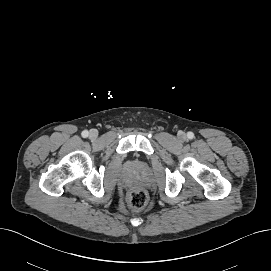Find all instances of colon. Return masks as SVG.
Returning a JSON list of instances; mask_svg holds the SVG:
<instances>
[{
  "label": "colon",
  "mask_w": 271,
  "mask_h": 271,
  "mask_svg": "<svg viewBox=\"0 0 271 271\" xmlns=\"http://www.w3.org/2000/svg\"><path fill=\"white\" fill-rule=\"evenodd\" d=\"M148 202V194L144 189L134 188L129 195V206L131 209L140 211Z\"/></svg>",
  "instance_id": "colon-1"
}]
</instances>
